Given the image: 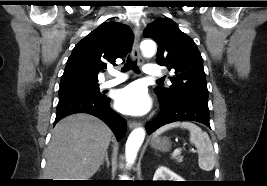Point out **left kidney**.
<instances>
[{
	"mask_svg": "<svg viewBox=\"0 0 267 186\" xmlns=\"http://www.w3.org/2000/svg\"><path fill=\"white\" fill-rule=\"evenodd\" d=\"M153 181H183V179L167 167L161 166L156 170Z\"/></svg>",
	"mask_w": 267,
	"mask_h": 186,
	"instance_id": "1",
	"label": "left kidney"
}]
</instances>
